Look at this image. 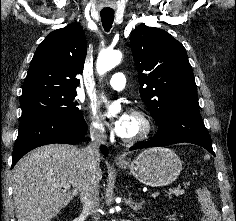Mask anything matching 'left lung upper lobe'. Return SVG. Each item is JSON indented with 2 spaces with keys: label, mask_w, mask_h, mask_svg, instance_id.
<instances>
[{
  "label": "left lung upper lobe",
  "mask_w": 236,
  "mask_h": 221,
  "mask_svg": "<svg viewBox=\"0 0 236 221\" xmlns=\"http://www.w3.org/2000/svg\"><path fill=\"white\" fill-rule=\"evenodd\" d=\"M131 49L141 99L157 125L170 112L199 111L194 74L180 42L166 31L141 26L132 32Z\"/></svg>",
  "instance_id": "1"
}]
</instances>
